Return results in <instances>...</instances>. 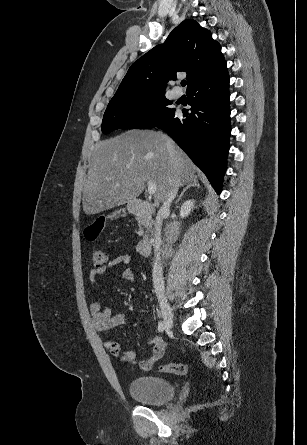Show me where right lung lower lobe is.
<instances>
[{"mask_svg":"<svg viewBox=\"0 0 307 445\" xmlns=\"http://www.w3.org/2000/svg\"><path fill=\"white\" fill-rule=\"evenodd\" d=\"M226 62L187 89L191 112L184 119L173 112L158 127L167 132L206 174L219 194L230 137V93ZM153 127V128H154Z\"/></svg>","mask_w":307,"mask_h":445,"instance_id":"1","label":"right lung lower lobe"}]
</instances>
